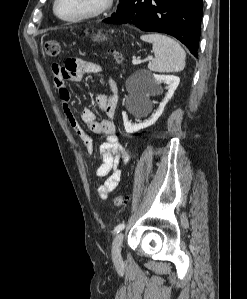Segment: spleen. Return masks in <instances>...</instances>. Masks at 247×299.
Listing matches in <instances>:
<instances>
[{
    "instance_id": "obj_1",
    "label": "spleen",
    "mask_w": 247,
    "mask_h": 299,
    "mask_svg": "<svg viewBox=\"0 0 247 299\" xmlns=\"http://www.w3.org/2000/svg\"><path fill=\"white\" fill-rule=\"evenodd\" d=\"M141 39L152 43L155 58L148 64L151 71L168 73L184 69L186 54L175 40L161 34L142 35Z\"/></svg>"
}]
</instances>
